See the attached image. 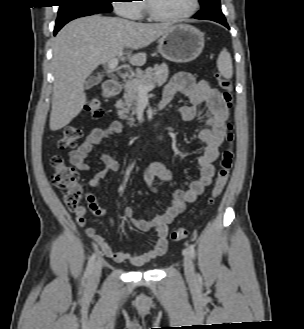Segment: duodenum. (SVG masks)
Segmentation results:
<instances>
[{"label":"duodenum","instance_id":"obj_1","mask_svg":"<svg viewBox=\"0 0 304 329\" xmlns=\"http://www.w3.org/2000/svg\"><path fill=\"white\" fill-rule=\"evenodd\" d=\"M119 82L117 80H107L103 85V95L105 97H114L119 92Z\"/></svg>","mask_w":304,"mask_h":329}]
</instances>
